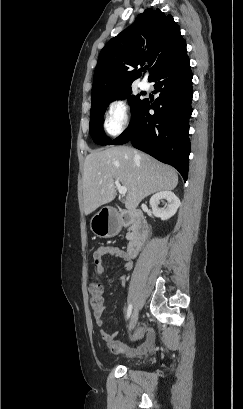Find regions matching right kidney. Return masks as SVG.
I'll use <instances>...</instances> for the list:
<instances>
[{
    "label": "right kidney",
    "instance_id": "right-kidney-1",
    "mask_svg": "<svg viewBox=\"0 0 243 409\" xmlns=\"http://www.w3.org/2000/svg\"><path fill=\"white\" fill-rule=\"evenodd\" d=\"M166 200L168 202L167 207L160 208V201ZM153 214L161 220H168L178 210L180 206L179 198L171 191H160L154 194L149 202Z\"/></svg>",
    "mask_w": 243,
    "mask_h": 409
}]
</instances>
